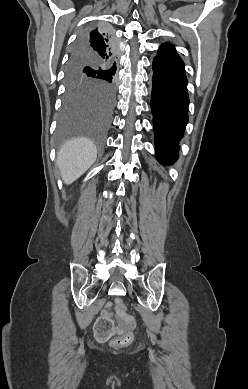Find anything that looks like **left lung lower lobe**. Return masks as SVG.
Segmentation results:
<instances>
[{
    "mask_svg": "<svg viewBox=\"0 0 248 389\" xmlns=\"http://www.w3.org/2000/svg\"><path fill=\"white\" fill-rule=\"evenodd\" d=\"M151 110L156 156L164 164L178 157L179 140L188 122L189 96L182 59L173 45L162 44L152 63Z\"/></svg>",
    "mask_w": 248,
    "mask_h": 389,
    "instance_id": "0a47b994",
    "label": "left lung lower lobe"
}]
</instances>
